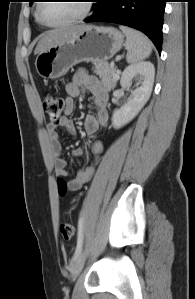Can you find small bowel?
<instances>
[{"label":"small bowel","mask_w":195,"mask_h":299,"mask_svg":"<svg viewBox=\"0 0 195 299\" xmlns=\"http://www.w3.org/2000/svg\"><path fill=\"white\" fill-rule=\"evenodd\" d=\"M82 90L88 91L92 95L93 104L96 108L95 115H88L84 121V129L87 135L91 136L98 132L101 128L106 127L108 123L107 90L103 87L100 81L92 75L83 71H78L74 74L72 81L66 86L67 96L65 98L64 113L66 116L61 118L58 123H49L47 125L50 147L54 155V169L57 176L66 178L68 189L71 191L79 190L87 183L95 170V165L91 164L81 169L77 175L68 179L69 175L66 170V161L62 158V147L60 134L58 129H64L70 135H76V129L73 121L67 116L72 114L75 108L74 99L78 97ZM103 149L100 141H96L92 145V152L98 157ZM83 153L81 148L74 151V156L79 157Z\"/></svg>","instance_id":"small-bowel-1"}]
</instances>
